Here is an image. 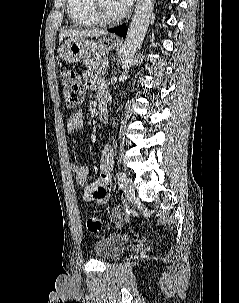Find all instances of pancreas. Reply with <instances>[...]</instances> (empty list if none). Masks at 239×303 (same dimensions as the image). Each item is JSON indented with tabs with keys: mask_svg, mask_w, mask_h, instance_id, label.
Wrapping results in <instances>:
<instances>
[{
	"mask_svg": "<svg viewBox=\"0 0 239 303\" xmlns=\"http://www.w3.org/2000/svg\"><path fill=\"white\" fill-rule=\"evenodd\" d=\"M107 61V57L103 53H98L96 57L86 60L85 66L98 73H105L106 67L103 66V62Z\"/></svg>",
	"mask_w": 239,
	"mask_h": 303,
	"instance_id": "1",
	"label": "pancreas"
}]
</instances>
